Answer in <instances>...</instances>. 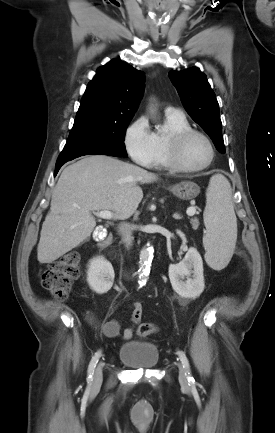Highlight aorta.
<instances>
[{"label":"aorta","instance_id":"obj_1","mask_svg":"<svg viewBox=\"0 0 275 433\" xmlns=\"http://www.w3.org/2000/svg\"><path fill=\"white\" fill-rule=\"evenodd\" d=\"M152 253L153 251L149 247L143 248L140 252L139 282L141 284H144L147 281L152 261Z\"/></svg>","mask_w":275,"mask_h":433}]
</instances>
